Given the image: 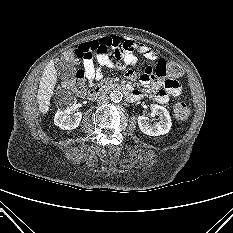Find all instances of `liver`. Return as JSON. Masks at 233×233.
I'll use <instances>...</instances> for the list:
<instances>
[{"mask_svg":"<svg viewBox=\"0 0 233 233\" xmlns=\"http://www.w3.org/2000/svg\"><path fill=\"white\" fill-rule=\"evenodd\" d=\"M57 83V72L54 67V62L50 61L42 74L40 85L37 93V101L39 111L46 114L49 110L51 96Z\"/></svg>","mask_w":233,"mask_h":233,"instance_id":"obj_1","label":"liver"}]
</instances>
